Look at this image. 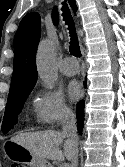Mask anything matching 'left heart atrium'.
<instances>
[{
	"label": "left heart atrium",
	"mask_w": 125,
	"mask_h": 167,
	"mask_svg": "<svg viewBox=\"0 0 125 167\" xmlns=\"http://www.w3.org/2000/svg\"><path fill=\"white\" fill-rule=\"evenodd\" d=\"M67 93L71 100H77L82 95V88L76 80L71 81L67 86Z\"/></svg>",
	"instance_id": "left-heart-atrium-1"
}]
</instances>
